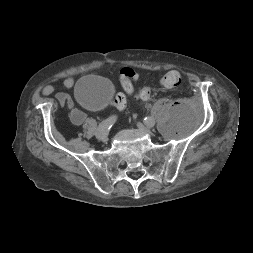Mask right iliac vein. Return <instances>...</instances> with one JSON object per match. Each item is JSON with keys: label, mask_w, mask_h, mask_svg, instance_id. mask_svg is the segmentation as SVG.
Returning a JSON list of instances; mask_svg holds the SVG:
<instances>
[{"label": "right iliac vein", "mask_w": 253, "mask_h": 253, "mask_svg": "<svg viewBox=\"0 0 253 253\" xmlns=\"http://www.w3.org/2000/svg\"><path fill=\"white\" fill-rule=\"evenodd\" d=\"M97 139L101 141H106L108 139L107 133L105 130H99L96 132Z\"/></svg>", "instance_id": "63e3f726"}]
</instances>
